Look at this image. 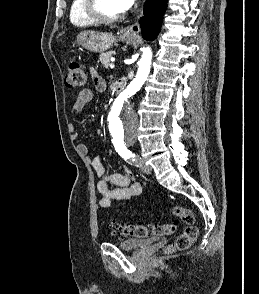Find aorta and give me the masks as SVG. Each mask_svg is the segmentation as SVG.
<instances>
[{"label":"aorta","instance_id":"aorta-1","mask_svg":"<svg viewBox=\"0 0 259 294\" xmlns=\"http://www.w3.org/2000/svg\"><path fill=\"white\" fill-rule=\"evenodd\" d=\"M152 60L149 47L143 49L138 71L133 81L116 98L108 115V131L112 141L134 142L137 137L138 116L129 107V98L141 89L146 81Z\"/></svg>","mask_w":259,"mask_h":294}]
</instances>
